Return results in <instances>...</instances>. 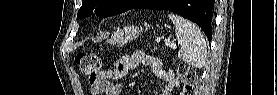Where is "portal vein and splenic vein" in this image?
I'll use <instances>...</instances> for the list:
<instances>
[{
	"mask_svg": "<svg viewBox=\"0 0 277 95\" xmlns=\"http://www.w3.org/2000/svg\"><path fill=\"white\" fill-rule=\"evenodd\" d=\"M165 45L169 48H174V49L177 48V45L175 43H172V42H166Z\"/></svg>",
	"mask_w": 277,
	"mask_h": 95,
	"instance_id": "1",
	"label": "portal vein and splenic vein"
}]
</instances>
